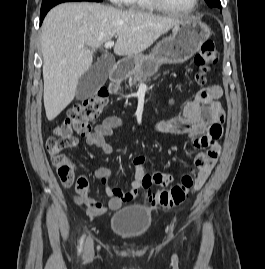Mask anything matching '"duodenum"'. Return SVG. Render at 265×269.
<instances>
[{
	"label": "duodenum",
	"instance_id": "duodenum-1",
	"mask_svg": "<svg viewBox=\"0 0 265 269\" xmlns=\"http://www.w3.org/2000/svg\"><path fill=\"white\" fill-rule=\"evenodd\" d=\"M125 73H126V69L123 66V63L118 62L112 67V69L110 71V78H111L112 82H117L121 78H123Z\"/></svg>",
	"mask_w": 265,
	"mask_h": 269
}]
</instances>
